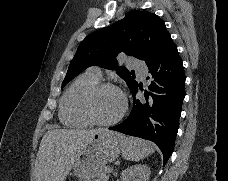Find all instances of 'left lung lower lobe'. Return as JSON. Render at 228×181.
I'll use <instances>...</instances> for the list:
<instances>
[{"instance_id": "obj_1", "label": "left lung lower lobe", "mask_w": 228, "mask_h": 181, "mask_svg": "<svg viewBox=\"0 0 228 181\" xmlns=\"http://www.w3.org/2000/svg\"><path fill=\"white\" fill-rule=\"evenodd\" d=\"M146 65L156 83L152 81L148 90H144V98L136 96L142 84L130 88L131 113L109 129L154 142L162 151L165 164L173 151L185 97L183 63L171 37L160 45Z\"/></svg>"}]
</instances>
